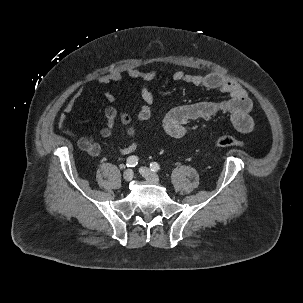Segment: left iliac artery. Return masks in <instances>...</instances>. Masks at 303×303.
<instances>
[{
    "mask_svg": "<svg viewBox=\"0 0 303 303\" xmlns=\"http://www.w3.org/2000/svg\"><path fill=\"white\" fill-rule=\"evenodd\" d=\"M150 169L154 172H157L160 170V166L157 162L150 163Z\"/></svg>",
    "mask_w": 303,
    "mask_h": 303,
    "instance_id": "44dca946",
    "label": "left iliac artery"
}]
</instances>
